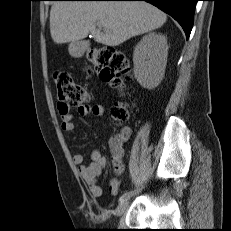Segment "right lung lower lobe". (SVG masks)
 <instances>
[{"label": "right lung lower lobe", "instance_id": "obj_1", "mask_svg": "<svg viewBox=\"0 0 231 231\" xmlns=\"http://www.w3.org/2000/svg\"><path fill=\"white\" fill-rule=\"evenodd\" d=\"M96 1H147L172 16L185 31L187 39L193 27V17L198 0H96Z\"/></svg>", "mask_w": 231, "mask_h": 231}]
</instances>
